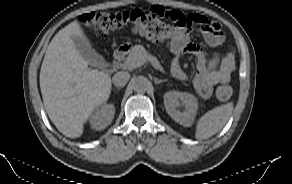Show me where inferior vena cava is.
<instances>
[{
	"instance_id": "obj_1",
	"label": "inferior vena cava",
	"mask_w": 292,
	"mask_h": 184,
	"mask_svg": "<svg viewBox=\"0 0 292 184\" xmlns=\"http://www.w3.org/2000/svg\"><path fill=\"white\" fill-rule=\"evenodd\" d=\"M130 79V74L127 71H119L114 74L112 81L117 87H123L127 84Z\"/></svg>"
}]
</instances>
